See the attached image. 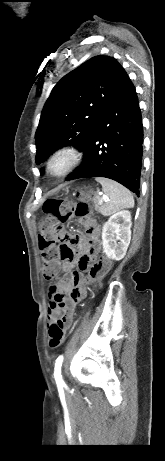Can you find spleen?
Listing matches in <instances>:
<instances>
[{
    "mask_svg": "<svg viewBox=\"0 0 165 461\" xmlns=\"http://www.w3.org/2000/svg\"><path fill=\"white\" fill-rule=\"evenodd\" d=\"M96 181L102 185L103 191L109 197L108 202L101 208L103 215L108 216L134 206L131 192L121 184L107 178H96Z\"/></svg>",
    "mask_w": 165,
    "mask_h": 461,
    "instance_id": "spleen-1",
    "label": "spleen"
}]
</instances>
